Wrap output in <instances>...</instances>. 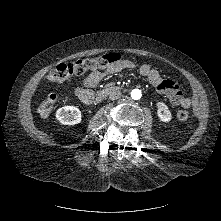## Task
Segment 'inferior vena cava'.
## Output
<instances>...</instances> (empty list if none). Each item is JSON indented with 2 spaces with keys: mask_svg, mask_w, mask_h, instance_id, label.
Segmentation results:
<instances>
[{
  "mask_svg": "<svg viewBox=\"0 0 221 221\" xmlns=\"http://www.w3.org/2000/svg\"><path fill=\"white\" fill-rule=\"evenodd\" d=\"M121 97H122V93L117 89L112 90L109 94V99L111 100H118Z\"/></svg>",
  "mask_w": 221,
  "mask_h": 221,
  "instance_id": "obj_1",
  "label": "inferior vena cava"
}]
</instances>
